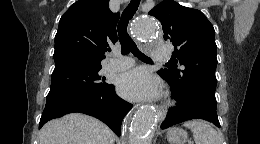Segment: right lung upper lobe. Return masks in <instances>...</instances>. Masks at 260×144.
Listing matches in <instances>:
<instances>
[{
	"label": "right lung upper lobe",
	"instance_id": "cb5924a9",
	"mask_svg": "<svg viewBox=\"0 0 260 144\" xmlns=\"http://www.w3.org/2000/svg\"><path fill=\"white\" fill-rule=\"evenodd\" d=\"M119 13L109 0H80L61 17L55 36V69L69 65H101L110 45L118 40Z\"/></svg>",
	"mask_w": 260,
	"mask_h": 144
}]
</instances>
